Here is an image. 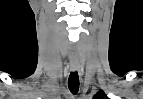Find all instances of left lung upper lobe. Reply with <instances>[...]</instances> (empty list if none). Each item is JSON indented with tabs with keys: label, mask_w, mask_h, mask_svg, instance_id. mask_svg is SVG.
Instances as JSON below:
<instances>
[{
	"label": "left lung upper lobe",
	"mask_w": 143,
	"mask_h": 99,
	"mask_svg": "<svg viewBox=\"0 0 143 99\" xmlns=\"http://www.w3.org/2000/svg\"><path fill=\"white\" fill-rule=\"evenodd\" d=\"M93 99H109L103 91H99Z\"/></svg>",
	"instance_id": "5c2ea615"
}]
</instances>
